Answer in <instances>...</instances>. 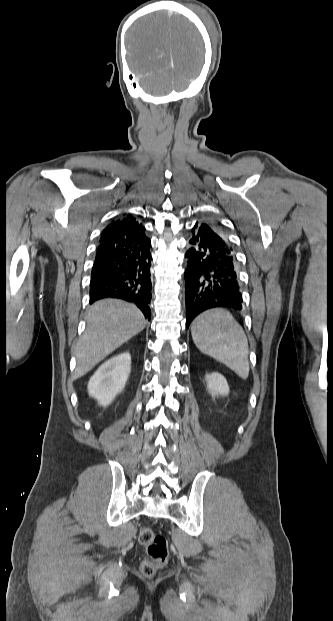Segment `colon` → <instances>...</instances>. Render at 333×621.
Segmentation results:
<instances>
[{
	"instance_id": "1",
	"label": "colon",
	"mask_w": 333,
	"mask_h": 621,
	"mask_svg": "<svg viewBox=\"0 0 333 621\" xmlns=\"http://www.w3.org/2000/svg\"><path fill=\"white\" fill-rule=\"evenodd\" d=\"M139 542L147 553V557L140 564V571L144 576L152 577L167 563V540L163 535L154 533L150 527H143L139 531Z\"/></svg>"
}]
</instances>
